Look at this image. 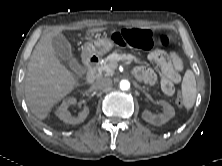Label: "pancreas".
Segmentation results:
<instances>
[{
    "instance_id": "cf45deb5",
    "label": "pancreas",
    "mask_w": 222,
    "mask_h": 166,
    "mask_svg": "<svg viewBox=\"0 0 222 166\" xmlns=\"http://www.w3.org/2000/svg\"><path fill=\"white\" fill-rule=\"evenodd\" d=\"M119 61L140 63V59L132 54L112 53L101 62L100 70L105 73V76H112Z\"/></svg>"
}]
</instances>
